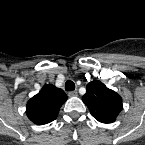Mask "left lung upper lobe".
I'll use <instances>...</instances> for the list:
<instances>
[{
    "instance_id": "5c2ea615",
    "label": "left lung upper lobe",
    "mask_w": 145,
    "mask_h": 145,
    "mask_svg": "<svg viewBox=\"0 0 145 145\" xmlns=\"http://www.w3.org/2000/svg\"><path fill=\"white\" fill-rule=\"evenodd\" d=\"M91 115L101 123H112L122 110V98L115 91L95 80L87 84L82 97Z\"/></svg>"
}]
</instances>
